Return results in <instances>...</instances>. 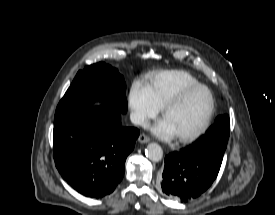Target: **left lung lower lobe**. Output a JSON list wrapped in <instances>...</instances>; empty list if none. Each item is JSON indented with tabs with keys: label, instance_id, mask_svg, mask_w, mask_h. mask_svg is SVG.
I'll return each mask as SVG.
<instances>
[{
	"label": "left lung lower lobe",
	"instance_id": "1",
	"mask_svg": "<svg viewBox=\"0 0 275 215\" xmlns=\"http://www.w3.org/2000/svg\"><path fill=\"white\" fill-rule=\"evenodd\" d=\"M221 164L187 149L165 157L160 189L168 197L188 202L204 193L216 179Z\"/></svg>",
	"mask_w": 275,
	"mask_h": 215
}]
</instances>
